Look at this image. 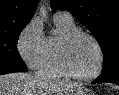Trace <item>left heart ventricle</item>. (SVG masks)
Returning a JSON list of instances; mask_svg holds the SVG:
<instances>
[{
  "instance_id": "left-heart-ventricle-1",
  "label": "left heart ventricle",
  "mask_w": 119,
  "mask_h": 95,
  "mask_svg": "<svg viewBox=\"0 0 119 95\" xmlns=\"http://www.w3.org/2000/svg\"><path fill=\"white\" fill-rule=\"evenodd\" d=\"M98 61V50L92 40L79 36L72 42L69 49V62L76 73L81 75L93 73Z\"/></svg>"
}]
</instances>
